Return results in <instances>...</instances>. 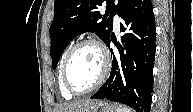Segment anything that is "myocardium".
I'll use <instances>...</instances> for the list:
<instances>
[{
    "instance_id": "1",
    "label": "myocardium",
    "mask_w": 193,
    "mask_h": 112,
    "mask_svg": "<svg viewBox=\"0 0 193 112\" xmlns=\"http://www.w3.org/2000/svg\"><path fill=\"white\" fill-rule=\"evenodd\" d=\"M86 45H92L99 51V53L101 55V61H102L101 71H100V74H99L97 80L95 81V83L91 87H89L83 91H77L71 86V84L69 82L68 66H69V63H70V60H71L73 54L79 48L86 46ZM109 69H110V57H109V53H108L106 47L103 45V43L97 39H94V38L83 39V40L75 43L74 45H72L65 56L63 66H62V79H63L64 86H65L66 90L72 96L86 95L88 93L93 92L94 90H96L97 88H99L102 85V83L105 81L106 77L108 76Z\"/></svg>"
}]
</instances>
